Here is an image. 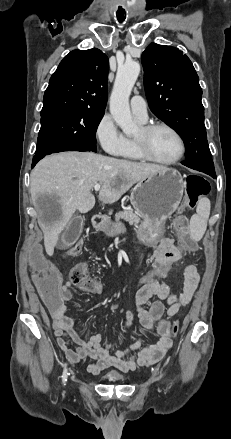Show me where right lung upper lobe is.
I'll list each match as a JSON object with an SVG mask.
<instances>
[{"instance_id": "cb5924a9", "label": "right lung upper lobe", "mask_w": 231, "mask_h": 439, "mask_svg": "<svg viewBox=\"0 0 231 439\" xmlns=\"http://www.w3.org/2000/svg\"><path fill=\"white\" fill-rule=\"evenodd\" d=\"M108 57L99 49L74 50L49 81L41 117L71 110L105 111Z\"/></svg>"}]
</instances>
